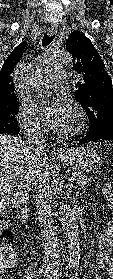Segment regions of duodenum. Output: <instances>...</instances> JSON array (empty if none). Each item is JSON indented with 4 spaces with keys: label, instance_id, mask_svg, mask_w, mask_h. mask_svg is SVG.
Wrapping results in <instances>:
<instances>
[{
    "label": "duodenum",
    "instance_id": "410a0bca",
    "mask_svg": "<svg viewBox=\"0 0 113 279\" xmlns=\"http://www.w3.org/2000/svg\"><path fill=\"white\" fill-rule=\"evenodd\" d=\"M20 219L24 227L28 229L30 227V222H29V210L27 208L25 207L21 208Z\"/></svg>",
    "mask_w": 113,
    "mask_h": 279
}]
</instances>
